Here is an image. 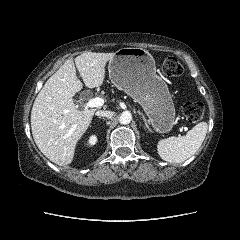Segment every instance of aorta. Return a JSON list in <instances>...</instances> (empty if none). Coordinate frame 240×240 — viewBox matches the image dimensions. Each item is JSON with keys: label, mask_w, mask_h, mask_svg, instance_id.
<instances>
[{"label": "aorta", "mask_w": 240, "mask_h": 240, "mask_svg": "<svg viewBox=\"0 0 240 240\" xmlns=\"http://www.w3.org/2000/svg\"><path fill=\"white\" fill-rule=\"evenodd\" d=\"M132 120V114L129 111H125L121 114L119 122L123 125H127Z\"/></svg>", "instance_id": "aorta-1"}]
</instances>
